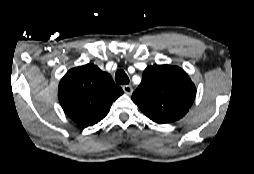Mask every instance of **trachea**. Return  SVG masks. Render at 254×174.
I'll return each instance as SVG.
<instances>
[{"instance_id": "obj_1", "label": "trachea", "mask_w": 254, "mask_h": 174, "mask_svg": "<svg viewBox=\"0 0 254 174\" xmlns=\"http://www.w3.org/2000/svg\"><path fill=\"white\" fill-rule=\"evenodd\" d=\"M117 84L126 85L129 83V78L123 70H118L115 74Z\"/></svg>"}]
</instances>
